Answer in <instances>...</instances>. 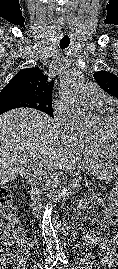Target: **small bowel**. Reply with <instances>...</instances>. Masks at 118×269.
<instances>
[{
  "instance_id": "c3829d8e",
  "label": "small bowel",
  "mask_w": 118,
  "mask_h": 269,
  "mask_svg": "<svg viewBox=\"0 0 118 269\" xmlns=\"http://www.w3.org/2000/svg\"><path fill=\"white\" fill-rule=\"evenodd\" d=\"M106 218H113L118 216V203L114 196L108 197L106 200ZM84 243L89 247H100L102 249V259L108 265H118V253L114 249L108 247L104 243V238L101 232H89L84 238ZM113 242L118 246V232L113 236ZM92 264V261L86 263ZM19 269H28L25 265H22Z\"/></svg>"
}]
</instances>
